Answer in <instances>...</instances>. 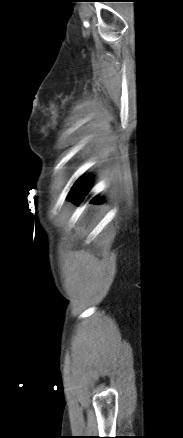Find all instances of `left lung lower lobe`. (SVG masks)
<instances>
[{"instance_id": "0a47b994", "label": "left lung lower lobe", "mask_w": 183, "mask_h": 438, "mask_svg": "<svg viewBox=\"0 0 183 438\" xmlns=\"http://www.w3.org/2000/svg\"><path fill=\"white\" fill-rule=\"evenodd\" d=\"M76 189H78L79 192H77ZM88 189L89 180L87 178H80L75 182L74 186L72 187V191L70 192L68 199L73 201L75 204H78V202L83 200V197L85 194H87ZM98 201L99 200H94V202Z\"/></svg>"}]
</instances>
